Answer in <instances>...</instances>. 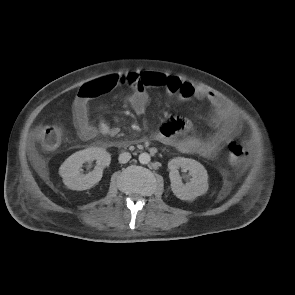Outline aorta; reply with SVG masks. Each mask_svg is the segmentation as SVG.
<instances>
[{"label":"aorta","instance_id":"obj_1","mask_svg":"<svg viewBox=\"0 0 295 295\" xmlns=\"http://www.w3.org/2000/svg\"><path fill=\"white\" fill-rule=\"evenodd\" d=\"M151 160V157L148 153L144 152L139 155V162L141 164H148Z\"/></svg>","mask_w":295,"mask_h":295}]
</instances>
